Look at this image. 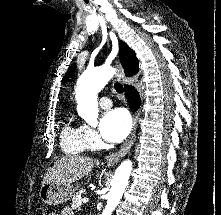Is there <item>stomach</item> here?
Returning a JSON list of instances; mask_svg holds the SVG:
<instances>
[{
	"label": "stomach",
	"mask_w": 221,
	"mask_h": 215,
	"mask_svg": "<svg viewBox=\"0 0 221 215\" xmlns=\"http://www.w3.org/2000/svg\"><path fill=\"white\" fill-rule=\"evenodd\" d=\"M80 185H62L56 183H49L42 186L40 190L41 200L48 205H59L62 204L73 196L74 192L79 188Z\"/></svg>",
	"instance_id": "obj_1"
}]
</instances>
